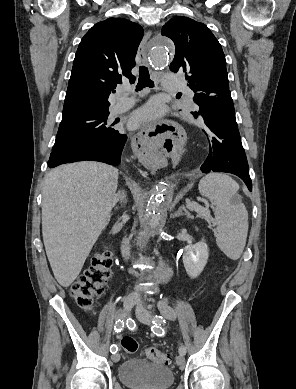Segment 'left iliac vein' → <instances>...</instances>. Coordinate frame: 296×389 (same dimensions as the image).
I'll return each instance as SVG.
<instances>
[{
	"instance_id": "1",
	"label": "left iliac vein",
	"mask_w": 296,
	"mask_h": 389,
	"mask_svg": "<svg viewBox=\"0 0 296 389\" xmlns=\"http://www.w3.org/2000/svg\"><path fill=\"white\" fill-rule=\"evenodd\" d=\"M136 315H137V318L142 323L150 324L151 313L141 304V302L137 303ZM176 364L179 365V366L184 364V356H183V354H179L176 357Z\"/></svg>"
}]
</instances>
